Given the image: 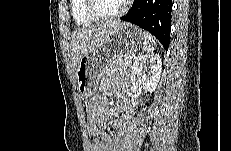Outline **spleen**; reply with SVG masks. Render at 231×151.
<instances>
[{
	"label": "spleen",
	"instance_id": "spleen-1",
	"mask_svg": "<svg viewBox=\"0 0 231 151\" xmlns=\"http://www.w3.org/2000/svg\"><path fill=\"white\" fill-rule=\"evenodd\" d=\"M143 50L146 52H153L157 46L155 38L146 31H143Z\"/></svg>",
	"mask_w": 231,
	"mask_h": 151
}]
</instances>
